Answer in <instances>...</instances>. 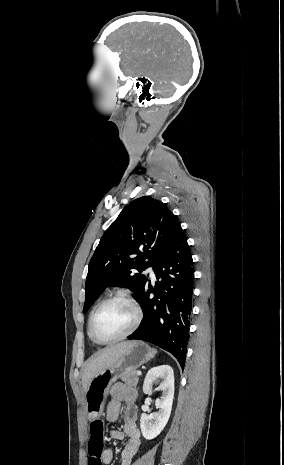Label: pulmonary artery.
<instances>
[{
	"mask_svg": "<svg viewBox=\"0 0 284 465\" xmlns=\"http://www.w3.org/2000/svg\"><path fill=\"white\" fill-rule=\"evenodd\" d=\"M148 273L150 274V278L154 279V273L151 270H149Z\"/></svg>",
	"mask_w": 284,
	"mask_h": 465,
	"instance_id": "1",
	"label": "pulmonary artery"
}]
</instances>
